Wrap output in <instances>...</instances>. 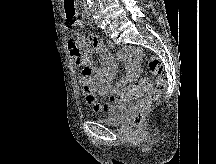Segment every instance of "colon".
Returning <instances> with one entry per match:
<instances>
[{"mask_svg":"<svg viewBox=\"0 0 216 164\" xmlns=\"http://www.w3.org/2000/svg\"><path fill=\"white\" fill-rule=\"evenodd\" d=\"M149 71L150 76L128 85L116 96V101L120 104L140 99L138 110L133 117V124L136 126L143 124L151 110L153 100L159 97L166 85L163 78L164 66L159 58L155 56L150 58Z\"/></svg>","mask_w":216,"mask_h":164,"instance_id":"obj_1","label":"colon"}]
</instances>
